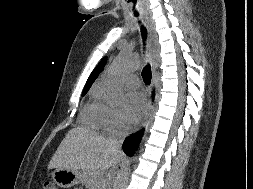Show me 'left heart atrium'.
<instances>
[{"instance_id": "1", "label": "left heart atrium", "mask_w": 253, "mask_h": 189, "mask_svg": "<svg viewBox=\"0 0 253 189\" xmlns=\"http://www.w3.org/2000/svg\"><path fill=\"white\" fill-rule=\"evenodd\" d=\"M145 109L146 102L142 95L138 93L129 94L122 115L123 125L128 127L136 124L141 119Z\"/></svg>"}]
</instances>
